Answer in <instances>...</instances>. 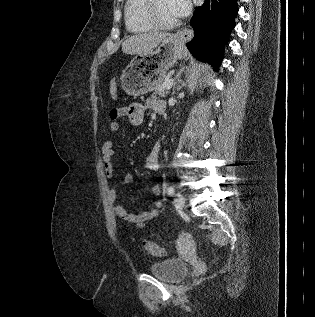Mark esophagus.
Here are the masks:
<instances>
[{"label": "esophagus", "mask_w": 315, "mask_h": 317, "mask_svg": "<svg viewBox=\"0 0 315 317\" xmlns=\"http://www.w3.org/2000/svg\"><path fill=\"white\" fill-rule=\"evenodd\" d=\"M176 36L183 41H188L193 37V31L191 29L185 28L177 32Z\"/></svg>", "instance_id": "obj_1"}]
</instances>
